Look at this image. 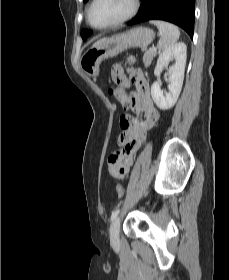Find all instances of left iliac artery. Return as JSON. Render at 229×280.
<instances>
[{
  "label": "left iliac artery",
  "instance_id": "1",
  "mask_svg": "<svg viewBox=\"0 0 229 280\" xmlns=\"http://www.w3.org/2000/svg\"><path fill=\"white\" fill-rule=\"evenodd\" d=\"M119 211H120V209H119V208H116V209L112 212V214H111V221H113V220L117 217Z\"/></svg>",
  "mask_w": 229,
  "mask_h": 280
}]
</instances>
